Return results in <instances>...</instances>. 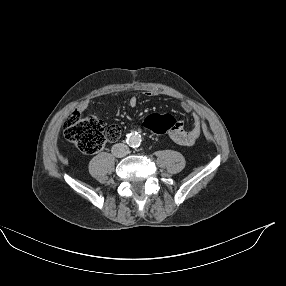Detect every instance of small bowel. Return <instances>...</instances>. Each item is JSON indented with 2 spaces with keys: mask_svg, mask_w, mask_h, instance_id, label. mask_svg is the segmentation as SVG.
<instances>
[{
  "mask_svg": "<svg viewBox=\"0 0 286 286\" xmlns=\"http://www.w3.org/2000/svg\"><path fill=\"white\" fill-rule=\"evenodd\" d=\"M148 97H154L157 95L155 91H147L145 93ZM138 104V98L136 95H131L128 98V105L130 107H136ZM87 104L84 103L81 105V109L85 110ZM184 110L190 111L191 106L189 104H184ZM202 125L198 118H196L193 127L186 128L182 122H179L178 126L173 130L169 131V137L179 146H192L200 136Z\"/></svg>",
  "mask_w": 286,
  "mask_h": 286,
  "instance_id": "c3829d8e",
  "label": "small bowel"
}]
</instances>
